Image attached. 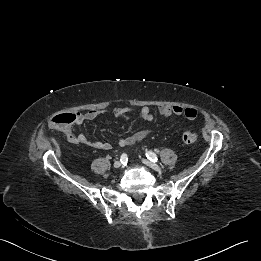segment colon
Listing matches in <instances>:
<instances>
[{"instance_id": "1", "label": "colon", "mask_w": 261, "mask_h": 261, "mask_svg": "<svg viewBox=\"0 0 261 261\" xmlns=\"http://www.w3.org/2000/svg\"><path fill=\"white\" fill-rule=\"evenodd\" d=\"M76 117L73 113H58L53 115L49 120V125L55 129H64L75 123ZM198 138V134L192 130L183 132L182 140L185 144H192Z\"/></svg>"}]
</instances>
